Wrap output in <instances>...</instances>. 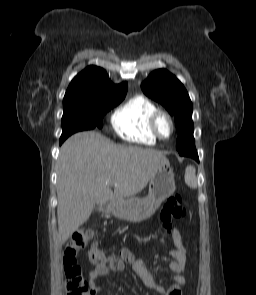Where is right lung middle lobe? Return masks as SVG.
<instances>
[{
  "label": "right lung middle lobe",
  "instance_id": "dd1d6c3e",
  "mask_svg": "<svg viewBox=\"0 0 256 295\" xmlns=\"http://www.w3.org/2000/svg\"><path fill=\"white\" fill-rule=\"evenodd\" d=\"M125 95L101 98L63 107L62 135L60 139H66L78 131L90 130L95 127L102 128L104 114L117 106Z\"/></svg>",
  "mask_w": 256,
  "mask_h": 295
}]
</instances>
